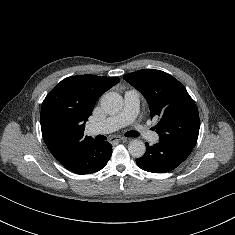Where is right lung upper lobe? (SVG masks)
<instances>
[{
  "label": "right lung upper lobe",
  "mask_w": 235,
  "mask_h": 235,
  "mask_svg": "<svg viewBox=\"0 0 235 235\" xmlns=\"http://www.w3.org/2000/svg\"><path fill=\"white\" fill-rule=\"evenodd\" d=\"M119 81L89 74L71 76L48 93L41 108V130L49 151L62 165L94 140L84 136L85 123L98 98Z\"/></svg>",
  "instance_id": "1"
}]
</instances>
